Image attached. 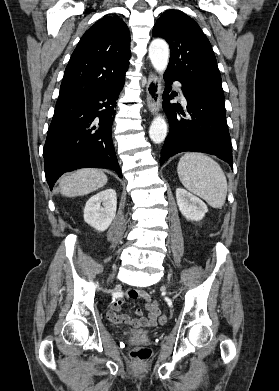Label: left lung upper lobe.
<instances>
[{
  "instance_id": "obj_1",
  "label": "left lung upper lobe",
  "mask_w": 279,
  "mask_h": 391,
  "mask_svg": "<svg viewBox=\"0 0 279 391\" xmlns=\"http://www.w3.org/2000/svg\"><path fill=\"white\" fill-rule=\"evenodd\" d=\"M154 37L170 46L165 75L224 105L221 75L211 44L199 25L186 14L165 12L153 28Z\"/></svg>"
}]
</instances>
